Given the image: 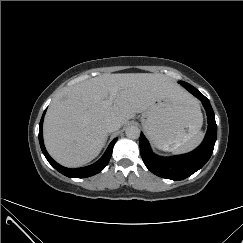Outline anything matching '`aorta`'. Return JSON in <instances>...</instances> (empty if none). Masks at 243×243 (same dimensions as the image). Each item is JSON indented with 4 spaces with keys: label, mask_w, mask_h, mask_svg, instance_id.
Returning a JSON list of instances; mask_svg holds the SVG:
<instances>
[{
    "label": "aorta",
    "mask_w": 243,
    "mask_h": 243,
    "mask_svg": "<svg viewBox=\"0 0 243 243\" xmlns=\"http://www.w3.org/2000/svg\"><path fill=\"white\" fill-rule=\"evenodd\" d=\"M125 134L130 139H138L140 137V129L137 126H129Z\"/></svg>",
    "instance_id": "1"
}]
</instances>
